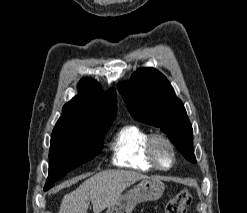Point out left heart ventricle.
Segmentation results:
<instances>
[{"instance_id": "b2bd125f", "label": "left heart ventricle", "mask_w": 247, "mask_h": 213, "mask_svg": "<svg viewBox=\"0 0 247 213\" xmlns=\"http://www.w3.org/2000/svg\"><path fill=\"white\" fill-rule=\"evenodd\" d=\"M157 154L162 164L168 165L170 163V152L164 144L157 145Z\"/></svg>"}]
</instances>
